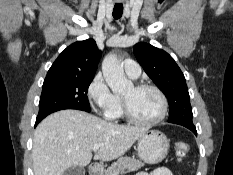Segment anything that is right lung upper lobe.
Returning a JSON list of instances; mask_svg holds the SVG:
<instances>
[{"instance_id": "1", "label": "right lung upper lobe", "mask_w": 233, "mask_h": 175, "mask_svg": "<svg viewBox=\"0 0 233 175\" xmlns=\"http://www.w3.org/2000/svg\"><path fill=\"white\" fill-rule=\"evenodd\" d=\"M100 57L93 39L75 42L58 56L45 79L94 76Z\"/></svg>"}]
</instances>
